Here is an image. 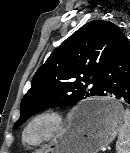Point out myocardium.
<instances>
[{
	"label": "myocardium",
	"instance_id": "1",
	"mask_svg": "<svg viewBox=\"0 0 130 153\" xmlns=\"http://www.w3.org/2000/svg\"><path fill=\"white\" fill-rule=\"evenodd\" d=\"M38 124L46 126L45 131L36 138H31V129ZM66 125L65 115L57 109L42 110L33 115L24 125L21 139L25 145L36 147L45 144L58 136Z\"/></svg>",
	"mask_w": 130,
	"mask_h": 153
}]
</instances>
